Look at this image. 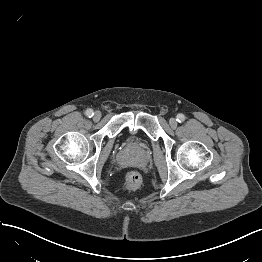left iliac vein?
<instances>
[{"mask_svg": "<svg viewBox=\"0 0 262 262\" xmlns=\"http://www.w3.org/2000/svg\"><path fill=\"white\" fill-rule=\"evenodd\" d=\"M169 124H170L171 128H176L177 125H178V122H177V120L175 118H171L169 120Z\"/></svg>", "mask_w": 262, "mask_h": 262, "instance_id": "4c4485c4", "label": "left iliac vein"}]
</instances>
